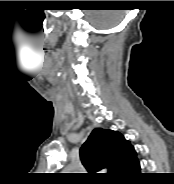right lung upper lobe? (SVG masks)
<instances>
[{
  "label": "right lung upper lobe",
  "instance_id": "obj_1",
  "mask_svg": "<svg viewBox=\"0 0 174 184\" xmlns=\"http://www.w3.org/2000/svg\"><path fill=\"white\" fill-rule=\"evenodd\" d=\"M84 167L92 174L107 168L116 179L136 159L133 146L119 132L95 128L80 149Z\"/></svg>",
  "mask_w": 174,
  "mask_h": 184
}]
</instances>
